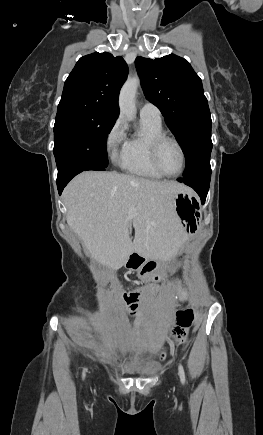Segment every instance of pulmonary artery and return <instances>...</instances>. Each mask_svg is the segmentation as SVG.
<instances>
[{
  "mask_svg": "<svg viewBox=\"0 0 263 435\" xmlns=\"http://www.w3.org/2000/svg\"><path fill=\"white\" fill-rule=\"evenodd\" d=\"M140 116L161 122V112L152 103L146 102L140 109Z\"/></svg>",
  "mask_w": 263,
  "mask_h": 435,
  "instance_id": "1",
  "label": "pulmonary artery"
}]
</instances>
